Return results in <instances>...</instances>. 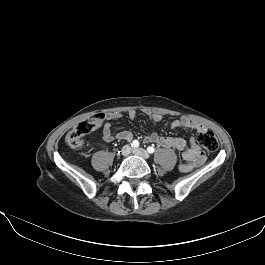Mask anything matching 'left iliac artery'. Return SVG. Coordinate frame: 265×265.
Returning a JSON list of instances; mask_svg holds the SVG:
<instances>
[{
  "label": "left iliac artery",
  "instance_id": "obj_1",
  "mask_svg": "<svg viewBox=\"0 0 265 265\" xmlns=\"http://www.w3.org/2000/svg\"><path fill=\"white\" fill-rule=\"evenodd\" d=\"M147 151L149 152V153H154L155 152V149H154V147H152V146H149L148 148H147Z\"/></svg>",
  "mask_w": 265,
  "mask_h": 265
}]
</instances>
